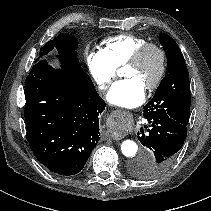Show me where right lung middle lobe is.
Returning a JSON list of instances; mask_svg holds the SVG:
<instances>
[{"instance_id":"obj_1","label":"right lung middle lobe","mask_w":211,"mask_h":211,"mask_svg":"<svg viewBox=\"0 0 211 211\" xmlns=\"http://www.w3.org/2000/svg\"><path fill=\"white\" fill-rule=\"evenodd\" d=\"M77 39L75 36L68 33L59 34L53 41H49L40 50L41 54H48L53 49H56L59 55L71 62L77 64L80 68L79 60L77 59V53L75 51L77 47Z\"/></svg>"}]
</instances>
